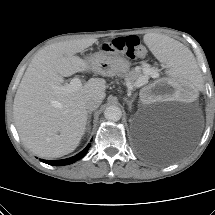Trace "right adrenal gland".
Here are the masks:
<instances>
[{"label":"right adrenal gland","mask_w":215,"mask_h":215,"mask_svg":"<svg viewBox=\"0 0 215 215\" xmlns=\"http://www.w3.org/2000/svg\"><path fill=\"white\" fill-rule=\"evenodd\" d=\"M90 122H91V114L88 115L86 132H89L90 130Z\"/></svg>","instance_id":"2a0ac1e0"}]
</instances>
